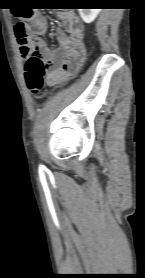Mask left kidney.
Wrapping results in <instances>:
<instances>
[{
  "label": "left kidney",
  "instance_id": "1",
  "mask_svg": "<svg viewBox=\"0 0 145 278\" xmlns=\"http://www.w3.org/2000/svg\"><path fill=\"white\" fill-rule=\"evenodd\" d=\"M78 11L85 23H91L98 16L101 9H78Z\"/></svg>",
  "mask_w": 145,
  "mask_h": 278
}]
</instances>
